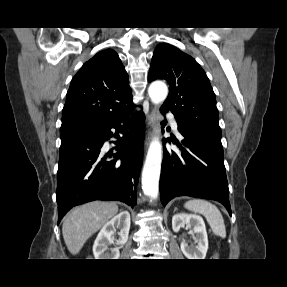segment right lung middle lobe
Listing matches in <instances>:
<instances>
[{"instance_id":"obj_1","label":"right lung middle lobe","mask_w":287,"mask_h":287,"mask_svg":"<svg viewBox=\"0 0 287 287\" xmlns=\"http://www.w3.org/2000/svg\"><path fill=\"white\" fill-rule=\"evenodd\" d=\"M91 127H92L91 125H86V124H72V125L62 126L60 129V137L64 138L70 135L88 132L90 131Z\"/></svg>"}]
</instances>
